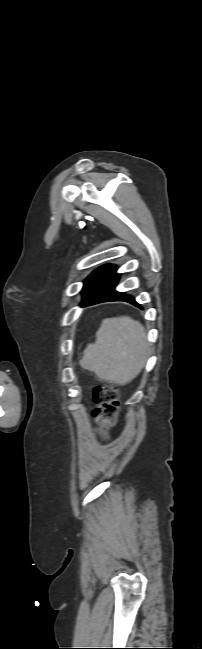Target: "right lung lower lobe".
Returning <instances> with one entry per match:
<instances>
[{
    "label": "right lung lower lobe",
    "mask_w": 202,
    "mask_h": 649,
    "mask_svg": "<svg viewBox=\"0 0 202 649\" xmlns=\"http://www.w3.org/2000/svg\"><path fill=\"white\" fill-rule=\"evenodd\" d=\"M116 270V266L109 265L88 284L83 294V304L90 305L106 301H125L139 306L131 295L119 293L115 290L119 280V275L116 273Z\"/></svg>",
    "instance_id": "obj_1"
}]
</instances>
